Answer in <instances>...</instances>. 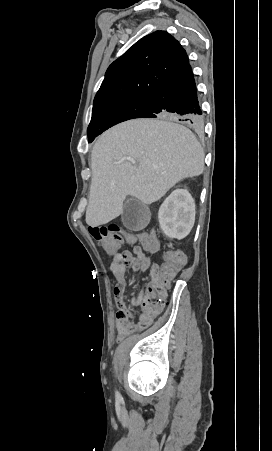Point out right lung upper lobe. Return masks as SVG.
Here are the masks:
<instances>
[{
  "mask_svg": "<svg viewBox=\"0 0 272 451\" xmlns=\"http://www.w3.org/2000/svg\"><path fill=\"white\" fill-rule=\"evenodd\" d=\"M188 62L186 51L170 34H149L109 66L93 105L123 97L150 96Z\"/></svg>",
  "mask_w": 272,
  "mask_h": 451,
  "instance_id": "obj_1",
  "label": "right lung upper lobe"
}]
</instances>
